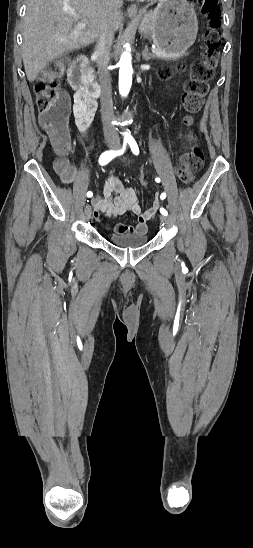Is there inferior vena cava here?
I'll use <instances>...</instances> for the list:
<instances>
[{
    "label": "inferior vena cava",
    "instance_id": "obj_1",
    "mask_svg": "<svg viewBox=\"0 0 253 548\" xmlns=\"http://www.w3.org/2000/svg\"><path fill=\"white\" fill-rule=\"evenodd\" d=\"M123 5V0H107L108 11L111 12L115 8H120ZM114 39V30L107 19L101 25L98 41L95 46V52L98 55V74L101 86V108L104 111L100 115L104 137L109 140H119L116 120V114L113 113L112 87L111 79L108 71L109 52Z\"/></svg>",
    "mask_w": 253,
    "mask_h": 548
}]
</instances>
